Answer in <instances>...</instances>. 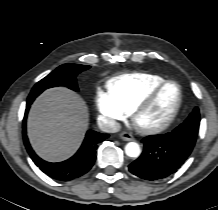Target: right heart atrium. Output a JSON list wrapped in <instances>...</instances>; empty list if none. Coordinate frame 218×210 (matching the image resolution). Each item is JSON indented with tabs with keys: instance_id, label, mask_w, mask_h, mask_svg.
Instances as JSON below:
<instances>
[{
	"instance_id": "right-heart-atrium-1",
	"label": "right heart atrium",
	"mask_w": 218,
	"mask_h": 210,
	"mask_svg": "<svg viewBox=\"0 0 218 210\" xmlns=\"http://www.w3.org/2000/svg\"><path fill=\"white\" fill-rule=\"evenodd\" d=\"M97 109L107 127L114 129L125 120L127 112L109 93L99 90L96 95Z\"/></svg>"
}]
</instances>
